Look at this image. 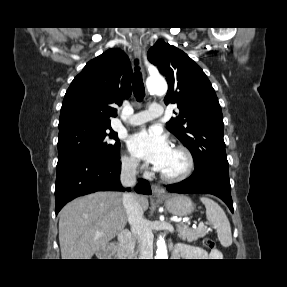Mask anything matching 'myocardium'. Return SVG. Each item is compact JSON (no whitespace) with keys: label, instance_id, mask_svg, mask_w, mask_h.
<instances>
[{"label":"myocardium","instance_id":"f54148a6","mask_svg":"<svg viewBox=\"0 0 287 287\" xmlns=\"http://www.w3.org/2000/svg\"><path fill=\"white\" fill-rule=\"evenodd\" d=\"M172 149L182 153L186 160V166L184 170L178 174H166L163 172H159L160 177L167 182H181L183 180H186L191 176L195 169V158L193 153L185 146L183 145H175L172 147Z\"/></svg>","mask_w":287,"mask_h":287}]
</instances>
